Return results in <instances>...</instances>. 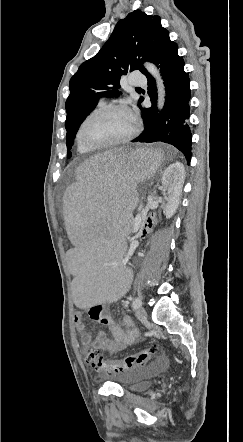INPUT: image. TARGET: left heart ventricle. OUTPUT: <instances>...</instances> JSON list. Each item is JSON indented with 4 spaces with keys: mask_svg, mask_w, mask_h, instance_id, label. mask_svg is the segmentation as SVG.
Segmentation results:
<instances>
[{
    "mask_svg": "<svg viewBox=\"0 0 243 442\" xmlns=\"http://www.w3.org/2000/svg\"><path fill=\"white\" fill-rule=\"evenodd\" d=\"M133 117L126 111H113L92 120L84 131L85 139L102 144L127 136L133 129Z\"/></svg>",
    "mask_w": 243,
    "mask_h": 442,
    "instance_id": "left-heart-ventricle-1",
    "label": "left heart ventricle"
}]
</instances>
